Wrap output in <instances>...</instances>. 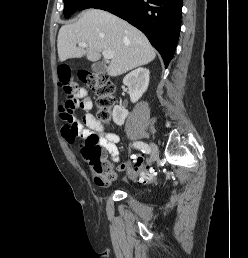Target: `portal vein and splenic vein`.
<instances>
[{
	"instance_id": "1",
	"label": "portal vein and splenic vein",
	"mask_w": 248,
	"mask_h": 258,
	"mask_svg": "<svg viewBox=\"0 0 248 258\" xmlns=\"http://www.w3.org/2000/svg\"><path fill=\"white\" fill-rule=\"evenodd\" d=\"M79 47L86 48L88 45L86 43H78ZM105 59H112L114 57L113 53L110 51H103L102 52Z\"/></svg>"
}]
</instances>
